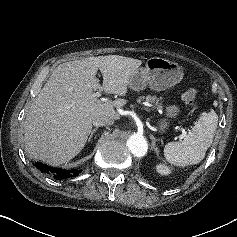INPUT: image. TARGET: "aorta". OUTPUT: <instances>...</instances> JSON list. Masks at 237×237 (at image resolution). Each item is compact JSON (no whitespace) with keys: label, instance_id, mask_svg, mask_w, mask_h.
<instances>
[{"label":"aorta","instance_id":"aorta-1","mask_svg":"<svg viewBox=\"0 0 237 237\" xmlns=\"http://www.w3.org/2000/svg\"><path fill=\"white\" fill-rule=\"evenodd\" d=\"M127 146L133 155L142 157L147 152V142L142 135L134 134L127 140Z\"/></svg>","mask_w":237,"mask_h":237}]
</instances>
